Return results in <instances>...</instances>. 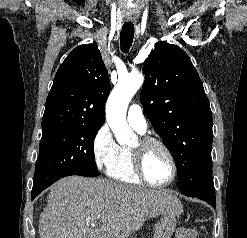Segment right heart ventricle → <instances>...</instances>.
<instances>
[{"mask_svg": "<svg viewBox=\"0 0 247 238\" xmlns=\"http://www.w3.org/2000/svg\"><path fill=\"white\" fill-rule=\"evenodd\" d=\"M107 175L120 183L139 185L142 181L135 173L130 148L119 146L117 153L106 168Z\"/></svg>", "mask_w": 247, "mask_h": 238, "instance_id": "right-heart-ventricle-1", "label": "right heart ventricle"}]
</instances>
